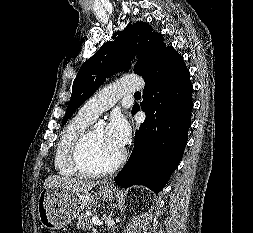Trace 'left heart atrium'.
Segmentation results:
<instances>
[{"mask_svg": "<svg viewBox=\"0 0 253 233\" xmlns=\"http://www.w3.org/2000/svg\"><path fill=\"white\" fill-rule=\"evenodd\" d=\"M107 140L117 149H122L130 136V126L122 115H113L105 129Z\"/></svg>", "mask_w": 253, "mask_h": 233, "instance_id": "obj_1", "label": "left heart atrium"}]
</instances>
